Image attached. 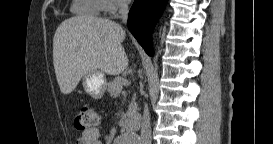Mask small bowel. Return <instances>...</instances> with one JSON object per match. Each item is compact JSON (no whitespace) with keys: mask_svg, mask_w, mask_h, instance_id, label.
Segmentation results:
<instances>
[{"mask_svg":"<svg viewBox=\"0 0 273 144\" xmlns=\"http://www.w3.org/2000/svg\"><path fill=\"white\" fill-rule=\"evenodd\" d=\"M101 132L97 128L85 130L75 140V144H101Z\"/></svg>","mask_w":273,"mask_h":144,"instance_id":"1","label":"small bowel"}]
</instances>
